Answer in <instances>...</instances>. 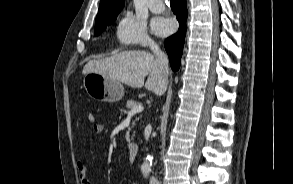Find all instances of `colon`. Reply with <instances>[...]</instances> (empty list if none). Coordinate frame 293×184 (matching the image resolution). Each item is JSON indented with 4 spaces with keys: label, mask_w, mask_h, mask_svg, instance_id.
I'll list each match as a JSON object with an SVG mask.
<instances>
[{
    "label": "colon",
    "mask_w": 293,
    "mask_h": 184,
    "mask_svg": "<svg viewBox=\"0 0 293 184\" xmlns=\"http://www.w3.org/2000/svg\"><path fill=\"white\" fill-rule=\"evenodd\" d=\"M88 121L91 122V123H94L95 122V115L93 113H89L88 116Z\"/></svg>",
    "instance_id": "5ec220e1"
}]
</instances>
